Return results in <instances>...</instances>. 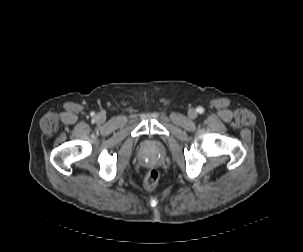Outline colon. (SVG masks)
Segmentation results:
<instances>
[{
  "mask_svg": "<svg viewBox=\"0 0 303 252\" xmlns=\"http://www.w3.org/2000/svg\"><path fill=\"white\" fill-rule=\"evenodd\" d=\"M160 174L156 169H151L144 177L143 186L146 190H153L159 182Z\"/></svg>",
  "mask_w": 303,
  "mask_h": 252,
  "instance_id": "1",
  "label": "colon"
}]
</instances>
